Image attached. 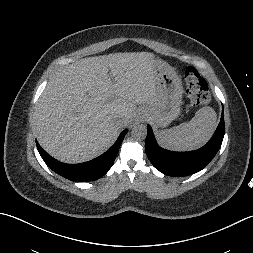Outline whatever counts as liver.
<instances>
[{
    "mask_svg": "<svg viewBox=\"0 0 253 253\" xmlns=\"http://www.w3.org/2000/svg\"><path fill=\"white\" fill-rule=\"evenodd\" d=\"M155 57L124 52L88 57L51 76L34 110L41 147L65 163H81L106 151L137 105L158 99Z\"/></svg>",
    "mask_w": 253,
    "mask_h": 253,
    "instance_id": "1",
    "label": "liver"
}]
</instances>
